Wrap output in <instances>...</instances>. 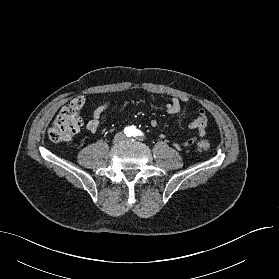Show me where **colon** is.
I'll return each instance as SVG.
<instances>
[{
	"label": "colon",
	"instance_id": "1",
	"mask_svg": "<svg viewBox=\"0 0 279 279\" xmlns=\"http://www.w3.org/2000/svg\"><path fill=\"white\" fill-rule=\"evenodd\" d=\"M83 104L82 98H76L60 111L49 130V138L53 142H67L79 132L82 126L80 111ZM196 148L199 152H208L211 144L207 139L201 138L197 141Z\"/></svg>",
	"mask_w": 279,
	"mask_h": 279
}]
</instances>
